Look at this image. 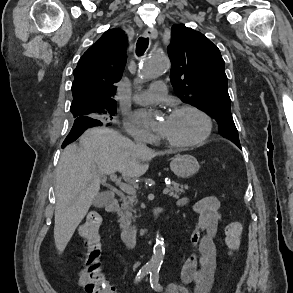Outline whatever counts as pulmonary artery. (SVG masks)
<instances>
[{"mask_svg": "<svg viewBox=\"0 0 293 293\" xmlns=\"http://www.w3.org/2000/svg\"><path fill=\"white\" fill-rule=\"evenodd\" d=\"M166 97V85L163 81L151 84L150 88L138 92L133 96V100L140 104H154Z\"/></svg>", "mask_w": 293, "mask_h": 293, "instance_id": "1", "label": "pulmonary artery"}]
</instances>
